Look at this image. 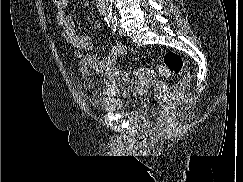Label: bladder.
I'll use <instances>...</instances> for the list:
<instances>
[{
	"label": "bladder",
	"instance_id": "obj_1",
	"mask_svg": "<svg viewBox=\"0 0 243 182\" xmlns=\"http://www.w3.org/2000/svg\"><path fill=\"white\" fill-rule=\"evenodd\" d=\"M94 108L105 114L139 115L146 107V99L139 94L103 98L93 102Z\"/></svg>",
	"mask_w": 243,
	"mask_h": 182
}]
</instances>
